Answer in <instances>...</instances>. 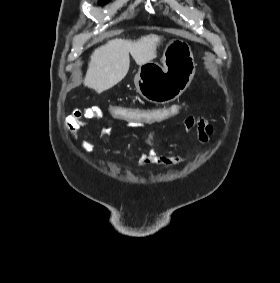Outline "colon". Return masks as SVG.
<instances>
[{"instance_id":"1","label":"colon","mask_w":280,"mask_h":283,"mask_svg":"<svg viewBox=\"0 0 280 283\" xmlns=\"http://www.w3.org/2000/svg\"><path fill=\"white\" fill-rule=\"evenodd\" d=\"M130 105H109L111 119L119 122H139L142 125H156V122H166L175 119L184 111L179 103H167L156 107H129ZM136 106V105H135Z\"/></svg>"}]
</instances>
